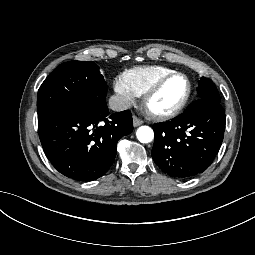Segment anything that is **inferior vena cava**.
<instances>
[{
  "label": "inferior vena cava",
  "instance_id": "obj_1",
  "mask_svg": "<svg viewBox=\"0 0 255 255\" xmlns=\"http://www.w3.org/2000/svg\"><path fill=\"white\" fill-rule=\"evenodd\" d=\"M110 107L114 111H124L130 108V100L126 96L115 95L109 101Z\"/></svg>",
  "mask_w": 255,
  "mask_h": 255
}]
</instances>
